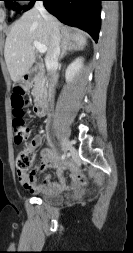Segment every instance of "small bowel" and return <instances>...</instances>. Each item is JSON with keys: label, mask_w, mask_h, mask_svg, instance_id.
<instances>
[{"label": "small bowel", "mask_w": 133, "mask_h": 253, "mask_svg": "<svg viewBox=\"0 0 133 253\" xmlns=\"http://www.w3.org/2000/svg\"><path fill=\"white\" fill-rule=\"evenodd\" d=\"M32 146L39 149L40 164L29 171H17L18 180L26 190L32 193L62 190L65 187L64 170L71 171L73 189H78L86 183L84 175L72 162L60 160L52 149L42 147V138L40 136L33 139ZM49 167L56 168L60 179L59 184L52 182L50 176H46L42 182L38 181V173L45 171Z\"/></svg>", "instance_id": "1"}]
</instances>
